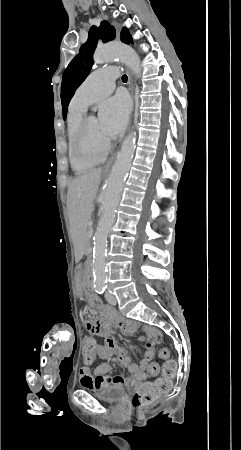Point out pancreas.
I'll return each instance as SVG.
<instances>
[{
  "instance_id": "cf45deb5",
  "label": "pancreas",
  "mask_w": 241,
  "mask_h": 450,
  "mask_svg": "<svg viewBox=\"0 0 241 450\" xmlns=\"http://www.w3.org/2000/svg\"><path fill=\"white\" fill-rule=\"evenodd\" d=\"M89 228H92V227H89ZM89 228H88V231H89ZM92 229H93V228H92ZM92 231H93V230H92ZM86 235H87V237H86V242H91V237H92V236L89 235V232H87Z\"/></svg>"
}]
</instances>
